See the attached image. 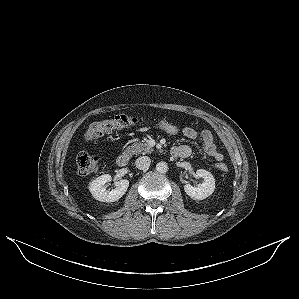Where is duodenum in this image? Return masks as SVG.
Masks as SVG:
<instances>
[{
	"mask_svg": "<svg viewBox=\"0 0 299 299\" xmlns=\"http://www.w3.org/2000/svg\"><path fill=\"white\" fill-rule=\"evenodd\" d=\"M174 151H179V153L181 154L182 157L185 156L184 150H174L173 149L172 152H174ZM129 161H130V154L128 152H124L117 157L116 164L118 167L124 168L129 164Z\"/></svg>",
	"mask_w": 299,
	"mask_h": 299,
	"instance_id": "410a0bca",
	"label": "duodenum"
}]
</instances>
